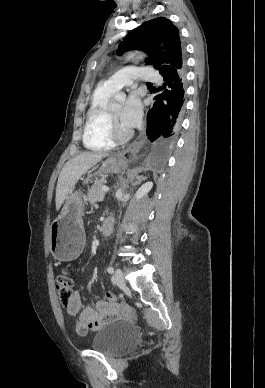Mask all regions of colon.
<instances>
[{
    "label": "colon",
    "mask_w": 265,
    "mask_h": 388,
    "mask_svg": "<svg viewBox=\"0 0 265 388\" xmlns=\"http://www.w3.org/2000/svg\"><path fill=\"white\" fill-rule=\"evenodd\" d=\"M74 281L73 278L67 270H63L56 281V289L59 296L60 302L64 306H68L71 301L73 294ZM106 301L111 304L117 303V297L112 292L106 293Z\"/></svg>",
    "instance_id": "5ec220e1"
}]
</instances>
